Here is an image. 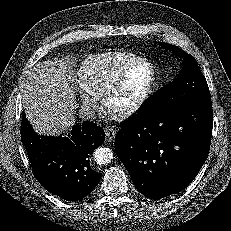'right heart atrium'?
Returning <instances> with one entry per match:
<instances>
[{"label": "right heart atrium", "mask_w": 231, "mask_h": 231, "mask_svg": "<svg viewBox=\"0 0 231 231\" xmlns=\"http://www.w3.org/2000/svg\"><path fill=\"white\" fill-rule=\"evenodd\" d=\"M78 96L82 103V107L85 110L91 111L94 109L96 98L92 97L90 94H88L86 91H84L81 88L78 90Z\"/></svg>", "instance_id": "1"}]
</instances>
